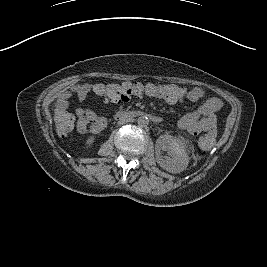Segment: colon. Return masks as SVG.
<instances>
[{"instance_id":"5ec220e1","label":"colon","mask_w":267,"mask_h":267,"mask_svg":"<svg viewBox=\"0 0 267 267\" xmlns=\"http://www.w3.org/2000/svg\"><path fill=\"white\" fill-rule=\"evenodd\" d=\"M93 92L105 101L124 102L133 97L147 95L157 97L167 102H177L183 96L180 87L170 84H141V83H107L96 84ZM74 118L65 109L54 114V128L59 137L65 138L74 128ZM215 135L202 132L197 139V154L205 156L214 146Z\"/></svg>"}]
</instances>
